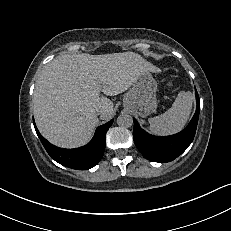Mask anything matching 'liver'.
I'll return each instance as SVG.
<instances>
[{
	"instance_id": "liver-1",
	"label": "liver",
	"mask_w": 231,
	"mask_h": 231,
	"mask_svg": "<svg viewBox=\"0 0 231 231\" xmlns=\"http://www.w3.org/2000/svg\"><path fill=\"white\" fill-rule=\"evenodd\" d=\"M160 69L134 52L103 55L65 54L46 64L33 94V112L41 134L52 144L76 148L91 139L100 119L114 112L106 96L126 91L136 78Z\"/></svg>"
}]
</instances>
